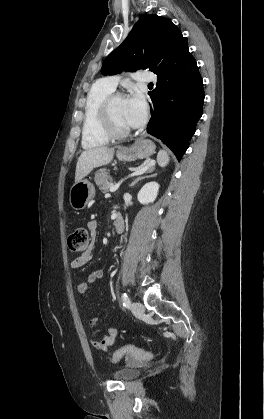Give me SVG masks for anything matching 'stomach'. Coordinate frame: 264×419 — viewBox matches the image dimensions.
<instances>
[{
    "mask_svg": "<svg viewBox=\"0 0 264 419\" xmlns=\"http://www.w3.org/2000/svg\"><path fill=\"white\" fill-rule=\"evenodd\" d=\"M155 153V145L151 140H139L125 152L118 151L117 157L121 161H132L137 158L144 159ZM95 188L88 180L75 182L70 188L69 202L75 210L84 209L94 198Z\"/></svg>",
    "mask_w": 264,
    "mask_h": 419,
    "instance_id": "stomach-1",
    "label": "stomach"
}]
</instances>
